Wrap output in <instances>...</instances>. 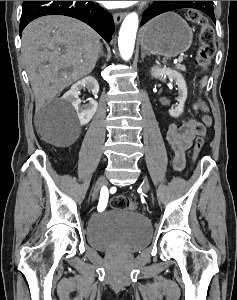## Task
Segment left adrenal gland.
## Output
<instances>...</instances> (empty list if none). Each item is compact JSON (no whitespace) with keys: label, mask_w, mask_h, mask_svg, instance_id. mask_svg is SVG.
Returning a JSON list of instances; mask_svg holds the SVG:
<instances>
[{"label":"left adrenal gland","mask_w":237,"mask_h":300,"mask_svg":"<svg viewBox=\"0 0 237 300\" xmlns=\"http://www.w3.org/2000/svg\"><path fill=\"white\" fill-rule=\"evenodd\" d=\"M141 61H143V59H145V55H149V53H147V51H144V49H141Z\"/></svg>","instance_id":"1"}]
</instances>
